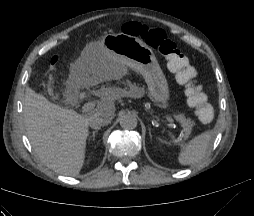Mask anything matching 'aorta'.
I'll use <instances>...</instances> for the list:
<instances>
[{
	"label": "aorta",
	"instance_id": "762f6f07",
	"mask_svg": "<svg viewBox=\"0 0 254 216\" xmlns=\"http://www.w3.org/2000/svg\"><path fill=\"white\" fill-rule=\"evenodd\" d=\"M120 126L125 130H133L137 127L138 121L135 115L126 113L119 118Z\"/></svg>",
	"mask_w": 254,
	"mask_h": 216
}]
</instances>
